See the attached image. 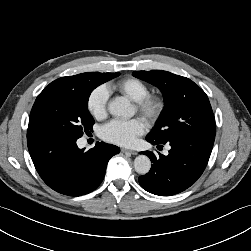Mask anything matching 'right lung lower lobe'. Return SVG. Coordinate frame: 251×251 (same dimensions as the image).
<instances>
[{
	"instance_id": "1",
	"label": "right lung lower lobe",
	"mask_w": 251,
	"mask_h": 251,
	"mask_svg": "<svg viewBox=\"0 0 251 251\" xmlns=\"http://www.w3.org/2000/svg\"><path fill=\"white\" fill-rule=\"evenodd\" d=\"M77 139L37 130H27V145L34 166L53 190L81 196L102 182L109 159L120 152L111 144L97 142L94 148L79 149Z\"/></svg>"
}]
</instances>
